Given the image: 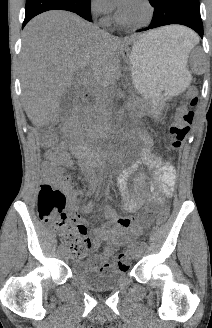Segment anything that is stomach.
I'll list each match as a JSON object with an SVG mask.
<instances>
[{
    "label": "stomach",
    "instance_id": "1",
    "mask_svg": "<svg viewBox=\"0 0 212 328\" xmlns=\"http://www.w3.org/2000/svg\"><path fill=\"white\" fill-rule=\"evenodd\" d=\"M132 81L155 111L162 93L175 95L188 87L191 75L182 48L168 40L140 37L130 55Z\"/></svg>",
    "mask_w": 212,
    "mask_h": 328
}]
</instances>
